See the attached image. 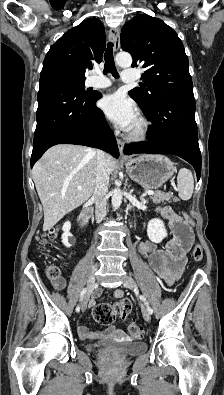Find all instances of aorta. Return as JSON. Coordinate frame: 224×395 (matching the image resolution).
<instances>
[{"mask_svg":"<svg viewBox=\"0 0 224 395\" xmlns=\"http://www.w3.org/2000/svg\"><path fill=\"white\" fill-rule=\"evenodd\" d=\"M116 63L118 66L122 68L130 67L132 64V57L129 53H118L116 55ZM116 185H119V182L116 181ZM122 202V193L119 187L114 188L112 191V205L113 208L116 210L120 207Z\"/></svg>","mask_w":224,"mask_h":395,"instance_id":"obj_1","label":"aorta"}]
</instances>
